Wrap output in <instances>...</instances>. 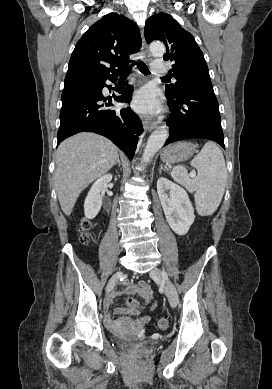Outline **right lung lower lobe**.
<instances>
[{"instance_id":"1","label":"right lung lower lobe","mask_w":272,"mask_h":389,"mask_svg":"<svg viewBox=\"0 0 272 389\" xmlns=\"http://www.w3.org/2000/svg\"><path fill=\"white\" fill-rule=\"evenodd\" d=\"M115 81L117 76L108 78ZM107 80V79H106ZM65 86L62 93L58 145L65 138L81 131L95 132L109 138L129 159L136 150L137 136L143 132L139 117L130 109L113 110L111 97L102 94L105 81ZM123 84L112 97L117 102H130L133 87Z\"/></svg>"}]
</instances>
